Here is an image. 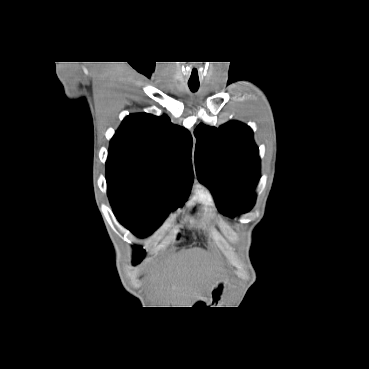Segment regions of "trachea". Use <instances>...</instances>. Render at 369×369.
<instances>
[{
  "mask_svg": "<svg viewBox=\"0 0 369 369\" xmlns=\"http://www.w3.org/2000/svg\"><path fill=\"white\" fill-rule=\"evenodd\" d=\"M189 88L191 89V91L195 92L198 90L199 88V83H189Z\"/></svg>",
  "mask_w": 369,
  "mask_h": 369,
  "instance_id": "3493384b",
  "label": "trachea"
}]
</instances>
